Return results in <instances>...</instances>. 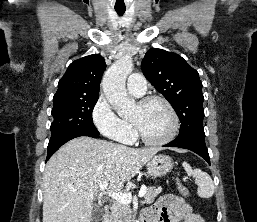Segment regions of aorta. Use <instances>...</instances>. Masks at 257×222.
<instances>
[{
    "label": "aorta",
    "mask_w": 257,
    "mask_h": 222,
    "mask_svg": "<svg viewBox=\"0 0 257 222\" xmlns=\"http://www.w3.org/2000/svg\"><path fill=\"white\" fill-rule=\"evenodd\" d=\"M132 68V58L129 55L123 56L106 71L102 79L104 95L120 116L132 112L135 108V100L128 97L125 85Z\"/></svg>",
    "instance_id": "762f6f07"
}]
</instances>
